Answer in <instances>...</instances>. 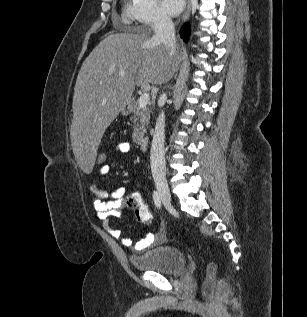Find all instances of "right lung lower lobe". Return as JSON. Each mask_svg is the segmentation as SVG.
I'll use <instances>...</instances> for the list:
<instances>
[{
	"label": "right lung lower lobe",
	"mask_w": 307,
	"mask_h": 317,
	"mask_svg": "<svg viewBox=\"0 0 307 317\" xmlns=\"http://www.w3.org/2000/svg\"><path fill=\"white\" fill-rule=\"evenodd\" d=\"M180 35H181V37L184 39L185 42L188 41V37H189V35H190V27H189L188 24H185V25L183 26V28H182L181 31H180Z\"/></svg>",
	"instance_id": "right-lung-lower-lobe-1"
}]
</instances>
